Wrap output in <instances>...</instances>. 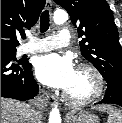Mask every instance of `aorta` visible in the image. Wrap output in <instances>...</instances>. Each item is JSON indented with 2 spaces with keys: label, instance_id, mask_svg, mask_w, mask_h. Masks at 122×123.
<instances>
[{
  "label": "aorta",
  "instance_id": "762f6f07",
  "mask_svg": "<svg viewBox=\"0 0 122 123\" xmlns=\"http://www.w3.org/2000/svg\"><path fill=\"white\" fill-rule=\"evenodd\" d=\"M56 24H63L68 20V14L64 10H57L53 16ZM49 123H61V116L59 109L55 106L49 114Z\"/></svg>",
  "mask_w": 122,
  "mask_h": 123
}]
</instances>
